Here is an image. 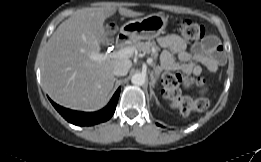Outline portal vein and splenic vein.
Wrapping results in <instances>:
<instances>
[{"label": "portal vein and splenic vein", "instance_id": "1", "mask_svg": "<svg viewBox=\"0 0 261 162\" xmlns=\"http://www.w3.org/2000/svg\"><path fill=\"white\" fill-rule=\"evenodd\" d=\"M135 49L133 47H124L118 51H113L111 53H96L91 54L90 58L95 61H104L108 59H129L133 56ZM147 63L151 64L152 59L148 58Z\"/></svg>", "mask_w": 261, "mask_h": 162}]
</instances>
